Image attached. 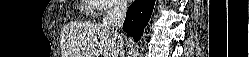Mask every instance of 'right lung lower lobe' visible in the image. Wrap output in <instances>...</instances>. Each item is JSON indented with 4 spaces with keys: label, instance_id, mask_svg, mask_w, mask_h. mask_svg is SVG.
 Wrapping results in <instances>:
<instances>
[{
    "label": "right lung lower lobe",
    "instance_id": "obj_1",
    "mask_svg": "<svg viewBox=\"0 0 249 57\" xmlns=\"http://www.w3.org/2000/svg\"><path fill=\"white\" fill-rule=\"evenodd\" d=\"M154 3L155 0H138L128 8L123 29L135 41L141 38L144 27L148 24Z\"/></svg>",
    "mask_w": 249,
    "mask_h": 57
}]
</instances>
